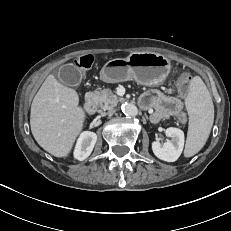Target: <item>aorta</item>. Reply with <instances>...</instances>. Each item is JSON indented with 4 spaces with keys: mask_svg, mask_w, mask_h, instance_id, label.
<instances>
[{
    "mask_svg": "<svg viewBox=\"0 0 231 231\" xmlns=\"http://www.w3.org/2000/svg\"><path fill=\"white\" fill-rule=\"evenodd\" d=\"M121 110L127 116H136L138 114L137 107L131 103H123L121 105Z\"/></svg>",
    "mask_w": 231,
    "mask_h": 231,
    "instance_id": "aorta-1",
    "label": "aorta"
}]
</instances>
